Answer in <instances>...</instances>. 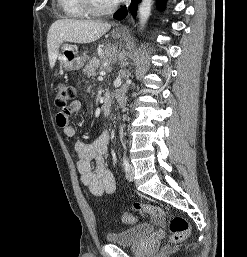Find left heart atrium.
I'll use <instances>...</instances> for the list:
<instances>
[{
    "label": "left heart atrium",
    "instance_id": "1",
    "mask_svg": "<svg viewBox=\"0 0 247 257\" xmlns=\"http://www.w3.org/2000/svg\"><path fill=\"white\" fill-rule=\"evenodd\" d=\"M114 1H116V2H120V1H122V0H114Z\"/></svg>",
    "mask_w": 247,
    "mask_h": 257
}]
</instances>
